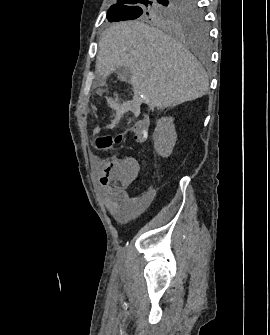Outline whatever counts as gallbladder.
<instances>
[{"instance_id": "1", "label": "gallbladder", "mask_w": 270, "mask_h": 335, "mask_svg": "<svg viewBox=\"0 0 270 335\" xmlns=\"http://www.w3.org/2000/svg\"><path fill=\"white\" fill-rule=\"evenodd\" d=\"M117 76L119 80H121V82H129L131 78L130 68H125V66H122V68H118Z\"/></svg>"}]
</instances>
